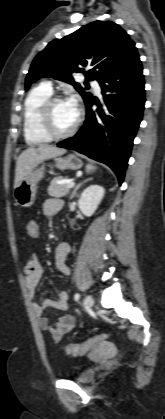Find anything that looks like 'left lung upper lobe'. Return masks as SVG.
<instances>
[{"instance_id": "left-lung-upper-lobe-1", "label": "left lung upper lobe", "mask_w": 165, "mask_h": 419, "mask_svg": "<svg viewBox=\"0 0 165 419\" xmlns=\"http://www.w3.org/2000/svg\"><path fill=\"white\" fill-rule=\"evenodd\" d=\"M134 49L135 43L116 23L92 22L64 38L51 41L33 60L25 89L41 77H53L73 85L87 104L93 99L92 94L85 92L73 75L83 72L87 80L100 82Z\"/></svg>"}]
</instances>
